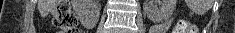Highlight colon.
<instances>
[{
    "label": "colon",
    "mask_w": 235,
    "mask_h": 33,
    "mask_svg": "<svg viewBox=\"0 0 235 33\" xmlns=\"http://www.w3.org/2000/svg\"><path fill=\"white\" fill-rule=\"evenodd\" d=\"M53 23L60 30L59 33H77V19L70 4L67 1H61L55 7L52 13ZM195 33L196 27L185 21H181L174 33Z\"/></svg>",
    "instance_id": "1"
}]
</instances>
